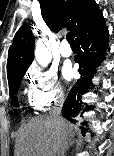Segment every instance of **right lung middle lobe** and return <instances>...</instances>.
<instances>
[{
  "instance_id": "obj_1",
  "label": "right lung middle lobe",
  "mask_w": 114,
  "mask_h": 156,
  "mask_svg": "<svg viewBox=\"0 0 114 156\" xmlns=\"http://www.w3.org/2000/svg\"><path fill=\"white\" fill-rule=\"evenodd\" d=\"M24 74H25V73L20 74V75H17V76H15V77L11 78V79L8 81V83H9L10 96H13V95L17 92V90H18V88H19V85H20V82H21V79L23 78ZM12 103H13V105H14L15 107H18V106H19V105H18V99H17V97H15V98L13 99Z\"/></svg>"
}]
</instances>
